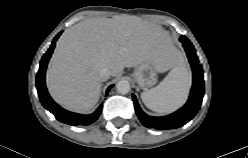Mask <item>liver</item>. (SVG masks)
I'll return each instance as SVG.
<instances>
[{
	"instance_id": "6515ba94",
	"label": "liver",
	"mask_w": 248,
	"mask_h": 158,
	"mask_svg": "<svg viewBox=\"0 0 248 158\" xmlns=\"http://www.w3.org/2000/svg\"><path fill=\"white\" fill-rule=\"evenodd\" d=\"M167 56L176 64V50L159 25L130 15L86 19L59 38L47 70V87L66 109L87 112L99 100L103 68L115 77L125 67L148 61L164 72L160 64Z\"/></svg>"
}]
</instances>
